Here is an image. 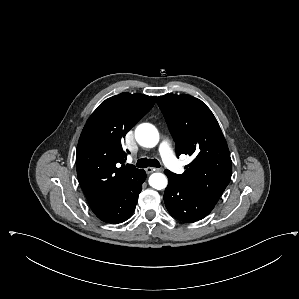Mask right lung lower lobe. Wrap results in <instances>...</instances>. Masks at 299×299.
<instances>
[{
  "label": "right lung lower lobe",
  "mask_w": 299,
  "mask_h": 299,
  "mask_svg": "<svg viewBox=\"0 0 299 299\" xmlns=\"http://www.w3.org/2000/svg\"><path fill=\"white\" fill-rule=\"evenodd\" d=\"M145 179V171L140 170L111 200L94 212L96 216L113 224L127 220L135 210Z\"/></svg>",
  "instance_id": "98d812e1"
}]
</instances>
